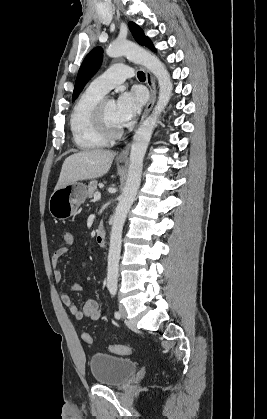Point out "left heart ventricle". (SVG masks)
Masks as SVG:
<instances>
[{"label":"left heart ventricle","mask_w":267,"mask_h":419,"mask_svg":"<svg viewBox=\"0 0 267 419\" xmlns=\"http://www.w3.org/2000/svg\"><path fill=\"white\" fill-rule=\"evenodd\" d=\"M106 120L110 128L116 130L123 126L119 123L116 112V102L108 100L105 104Z\"/></svg>","instance_id":"b2bd125f"}]
</instances>
